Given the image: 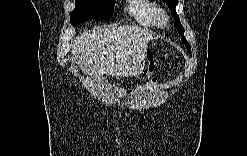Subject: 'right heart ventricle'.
Returning a JSON list of instances; mask_svg holds the SVG:
<instances>
[{
  "label": "right heart ventricle",
  "instance_id": "e07e8e85",
  "mask_svg": "<svg viewBox=\"0 0 247 156\" xmlns=\"http://www.w3.org/2000/svg\"><path fill=\"white\" fill-rule=\"evenodd\" d=\"M127 13L139 25L144 27L158 26L159 8L152 1H132L127 6Z\"/></svg>",
  "mask_w": 247,
  "mask_h": 156
}]
</instances>
